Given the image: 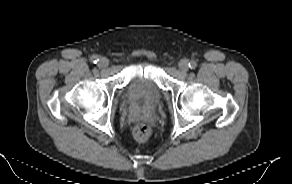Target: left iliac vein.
<instances>
[{
  "mask_svg": "<svg viewBox=\"0 0 292 184\" xmlns=\"http://www.w3.org/2000/svg\"><path fill=\"white\" fill-rule=\"evenodd\" d=\"M178 67L181 72L183 73L187 72L189 68L188 60L187 59L180 60V62L178 63Z\"/></svg>",
  "mask_w": 292,
  "mask_h": 184,
  "instance_id": "1",
  "label": "left iliac vein"
}]
</instances>
